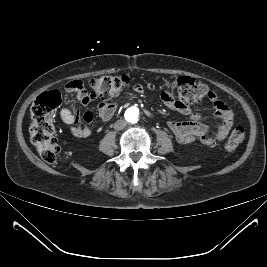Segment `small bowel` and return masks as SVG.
<instances>
[{
    "label": "small bowel",
    "instance_id": "obj_1",
    "mask_svg": "<svg viewBox=\"0 0 267 267\" xmlns=\"http://www.w3.org/2000/svg\"><path fill=\"white\" fill-rule=\"evenodd\" d=\"M65 90L67 93L72 94L75 100L82 105H87L90 101L89 93L79 80L68 82L65 86ZM134 90L139 93L143 91L142 86L139 84L134 86ZM161 97L169 109L189 117V120L186 121L173 120L168 122V126L176 140L181 144H187L198 140L204 145L212 146L217 141L223 140L233 126L234 113L232 109L216 96L212 98L211 101L215 108L214 115L220 119V123L216 126L214 131H211L210 128L201 121L200 115L193 113L186 103L174 99L169 88H164L162 90ZM115 108V104L101 103L98 106L99 117L103 121L109 120L113 116ZM60 118L69 126V130L74 137L86 138L91 135L92 129L89 126L77 125L79 111L74 112L68 107H63L60 110ZM83 118L87 123H91L93 120L92 112L88 110L85 111Z\"/></svg>",
    "mask_w": 267,
    "mask_h": 267
}]
</instances>
